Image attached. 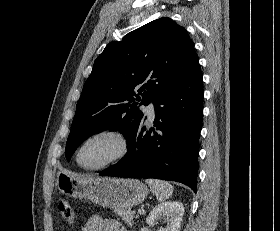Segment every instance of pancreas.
<instances>
[{
	"label": "pancreas",
	"instance_id": "1",
	"mask_svg": "<svg viewBox=\"0 0 280 231\" xmlns=\"http://www.w3.org/2000/svg\"><path fill=\"white\" fill-rule=\"evenodd\" d=\"M115 213L121 215L127 225H133L134 213H132L130 207H118V209H115Z\"/></svg>",
	"mask_w": 280,
	"mask_h": 231
}]
</instances>
